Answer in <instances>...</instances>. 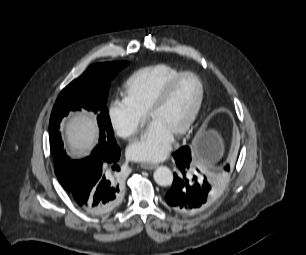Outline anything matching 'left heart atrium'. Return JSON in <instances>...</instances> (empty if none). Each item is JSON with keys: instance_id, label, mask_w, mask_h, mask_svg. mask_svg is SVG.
Wrapping results in <instances>:
<instances>
[{"instance_id": "39dd6f15", "label": "left heart atrium", "mask_w": 306, "mask_h": 255, "mask_svg": "<svg viewBox=\"0 0 306 255\" xmlns=\"http://www.w3.org/2000/svg\"><path fill=\"white\" fill-rule=\"evenodd\" d=\"M174 135L156 122H151L146 132L127 150L128 156L137 161H159L172 148Z\"/></svg>"}]
</instances>
